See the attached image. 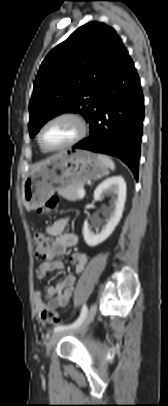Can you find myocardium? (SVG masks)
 <instances>
[{"label": "myocardium", "mask_w": 168, "mask_h": 406, "mask_svg": "<svg viewBox=\"0 0 168 406\" xmlns=\"http://www.w3.org/2000/svg\"><path fill=\"white\" fill-rule=\"evenodd\" d=\"M59 120L73 121L78 127V132L68 143H66L62 146H59V147H48L43 143L42 133L49 124H51L55 121H59ZM87 133H88V125H87V122L84 119V117L76 112L65 111V112H61V113H58V114L50 117L47 121L44 122V124L41 126V128L38 131L37 141H38L39 146L44 151L55 152V151L65 150L67 148L74 146L75 144L82 141L86 137Z\"/></svg>", "instance_id": "1"}]
</instances>
